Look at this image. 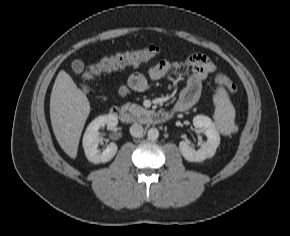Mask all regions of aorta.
<instances>
[{
    "label": "aorta",
    "instance_id": "obj_1",
    "mask_svg": "<svg viewBox=\"0 0 290 236\" xmlns=\"http://www.w3.org/2000/svg\"><path fill=\"white\" fill-rule=\"evenodd\" d=\"M149 140H156L159 137V131L156 128H150L147 132Z\"/></svg>",
    "mask_w": 290,
    "mask_h": 236
}]
</instances>
